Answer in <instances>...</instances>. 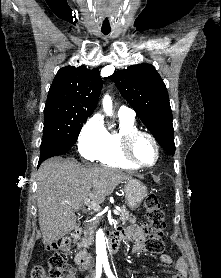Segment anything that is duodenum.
I'll return each instance as SVG.
<instances>
[{
    "instance_id": "obj_1",
    "label": "duodenum",
    "mask_w": 221,
    "mask_h": 278,
    "mask_svg": "<svg viewBox=\"0 0 221 278\" xmlns=\"http://www.w3.org/2000/svg\"><path fill=\"white\" fill-rule=\"evenodd\" d=\"M82 234V228L76 227L72 232V237L78 239ZM124 239V233L120 229H113L109 234V249L111 253H117L121 247L122 240ZM91 255L85 252H78L75 255V262L79 269L85 270L91 263Z\"/></svg>"
}]
</instances>
